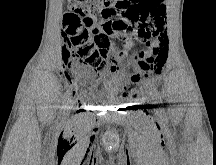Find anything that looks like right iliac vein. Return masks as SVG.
I'll use <instances>...</instances> for the list:
<instances>
[{"instance_id":"right-iliac-vein-1","label":"right iliac vein","mask_w":216,"mask_h":165,"mask_svg":"<svg viewBox=\"0 0 216 165\" xmlns=\"http://www.w3.org/2000/svg\"><path fill=\"white\" fill-rule=\"evenodd\" d=\"M70 109H71L70 105L66 106V108L64 109V116H67L69 114Z\"/></svg>"}]
</instances>
